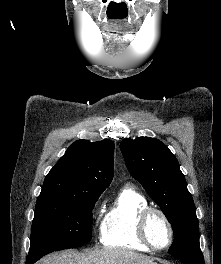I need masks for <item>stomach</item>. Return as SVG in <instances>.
Returning <instances> with one entry per match:
<instances>
[{
	"instance_id": "obj_1",
	"label": "stomach",
	"mask_w": 221,
	"mask_h": 264,
	"mask_svg": "<svg viewBox=\"0 0 221 264\" xmlns=\"http://www.w3.org/2000/svg\"><path fill=\"white\" fill-rule=\"evenodd\" d=\"M148 264H158V263H156V262H151V263H148Z\"/></svg>"
}]
</instances>
